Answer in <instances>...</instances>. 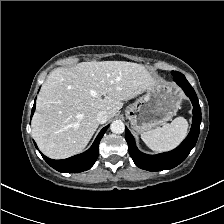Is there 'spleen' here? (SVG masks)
I'll return each instance as SVG.
<instances>
[{
	"label": "spleen",
	"instance_id": "obj_1",
	"mask_svg": "<svg viewBox=\"0 0 224 224\" xmlns=\"http://www.w3.org/2000/svg\"><path fill=\"white\" fill-rule=\"evenodd\" d=\"M188 133V122L184 117H177L163 127L144 132L141 139L155 152L168 151L178 146Z\"/></svg>",
	"mask_w": 224,
	"mask_h": 224
}]
</instances>
